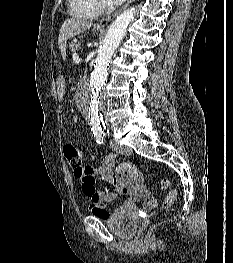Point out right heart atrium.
Here are the masks:
<instances>
[{"mask_svg": "<svg viewBox=\"0 0 233 263\" xmlns=\"http://www.w3.org/2000/svg\"><path fill=\"white\" fill-rule=\"evenodd\" d=\"M97 2L101 11L109 8L111 5V0H97Z\"/></svg>", "mask_w": 233, "mask_h": 263, "instance_id": "obj_1", "label": "right heart atrium"}]
</instances>
